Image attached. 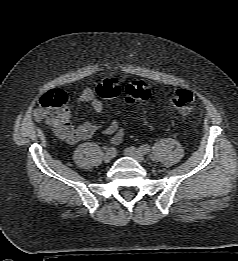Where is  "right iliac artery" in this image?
Segmentation results:
<instances>
[{
    "label": "right iliac artery",
    "instance_id": "1",
    "mask_svg": "<svg viewBox=\"0 0 238 261\" xmlns=\"http://www.w3.org/2000/svg\"><path fill=\"white\" fill-rule=\"evenodd\" d=\"M107 153H112V154H116L117 153V150L115 148H107Z\"/></svg>",
    "mask_w": 238,
    "mask_h": 261
}]
</instances>
